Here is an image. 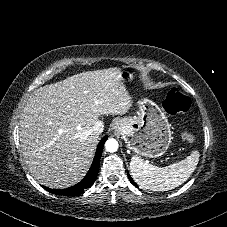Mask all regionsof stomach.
<instances>
[{
    "instance_id": "obj_1",
    "label": "stomach",
    "mask_w": 227,
    "mask_h": 227,
    "mask_svg": "<svg viewBox=\"0 0 227 227\" xmlns=\"http://www.w3.org/2000/svg\"><path fill=\"white\" fill-rule=\"evenodd\" d=\"M124 82L134 80V72L121 70ZM139 114L118 120L115 132L124 139L128 149L150 158L162 156L172 140L171 125L160 107L149 99L138 102Z\"/></svg>"
}]
</instances>
